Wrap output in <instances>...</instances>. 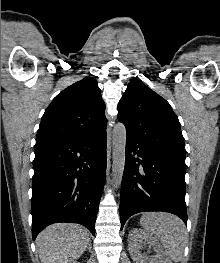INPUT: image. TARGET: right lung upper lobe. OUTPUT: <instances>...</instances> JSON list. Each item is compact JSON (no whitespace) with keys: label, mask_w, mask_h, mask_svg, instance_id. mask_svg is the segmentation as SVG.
Returning <instances> with one entry per match:
<instances>
[{"label":"right lung upper lobe","mask_w":220,"mask_h":263,"mask_svg":"<svg viewBox=\"0 0 220 263\" xmlns=\"http://www.w3.org/2000/svg\"><path fill=\"white\" fill-rule=\"evenodd\" d=\"M105 103L97 81L86 77L60 92L46 109L36 144L64 141L106 130Z\"/></svg>","instance_id":"cb5924a9"}]
</instances>
